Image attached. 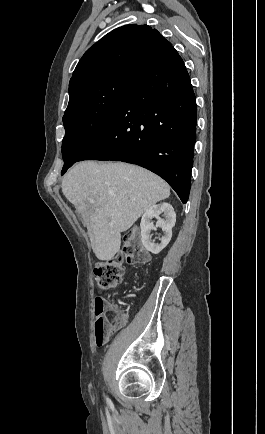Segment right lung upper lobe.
Returning <instances> with one entry per match:
<instances>
[{"instance_id": "obj_1", "label": "right lung upper lobe", "mask_w": 265, "mask_h": 434, "mask_svg": "<svg viewBox=\"0 0 265 434\" xmlns=\"http://www.w3.org/2000/svg\"><path fill=\"white\" fill-rule=\"evenodd\" d=\"M171 47L148 25L116 28L85 52L73 72L69 89L111 75L136 76Z\"/></svg>"}]
</instances>
